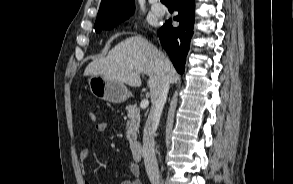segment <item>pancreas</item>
Listing matches in <instances>:
<instances>
[{"mask_svg":"<svg viewBox=\"0 0 293 184\" xmlns=\"http://www.w3.org/2000/svg\"><path fill=\"white\" fill-rule=\"evenodd\" d=\"M126 110L127 117L129 118L126 125V138L130 143H132L136 139L137 132L139 131L140 109L135 105H128Z\"/></svg>","mask_w":293,"mask_h":184,"instance_id":"cf45deb5","label":"pancreas"}]
</instances>
